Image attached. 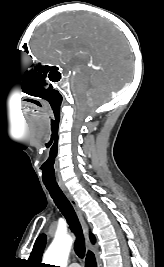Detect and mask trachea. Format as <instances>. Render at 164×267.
<instances>
[{"label":"trachea","mask_w":164,"mask_h":267,"mask_svg":"<svg viewBox=\"0 0 164 267\" xmlns=\"http://www.w3.org/2000/svg\"><path fill=\"white\" fill-rule=\"evenodd\" d=\"M51 197L53 198L56 206L64 215L71 231L74 233L76 240L74 243V250L79 258H84L85 255V241L83 236V231L78 220V217L75 213L74 208L72 207L70 201L64 195L62 190L59 187L46 186Z\"/></svg>","instance_id":"3493384b"}]
</instances>
